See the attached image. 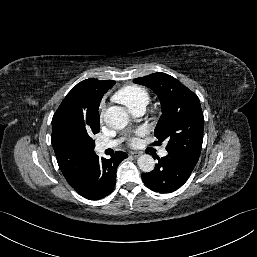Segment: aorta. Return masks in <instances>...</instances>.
<instances>
[{"label":"aorta","instance_id":"aorta-1","mask_svg":"<svg viewBox=\"0 0 257 257\" xmlns=\"http://www.w3.org/2000/svg\"><path fill=\"white\" fill-rule=\"evenodd\" d=\"M104 122L108 127L120 130L127 126L129 116L124 108L111 106L104 113ZM137 164L139 168L146 173L151 172L155 167L154 159L149 154L141 155L137 160Z\"/></svg>","mask_w":257,"mask_h":257}]
</instances>
